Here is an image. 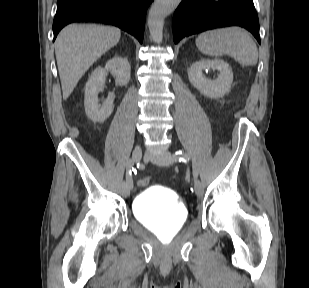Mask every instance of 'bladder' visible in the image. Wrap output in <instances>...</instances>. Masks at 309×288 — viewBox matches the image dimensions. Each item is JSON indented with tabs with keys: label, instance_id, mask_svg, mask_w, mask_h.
<instances>
[{
	"label": "bladder",
	"instance_id": "obj_1",
	"mask_svg": "<svg viewBox=\"0 0 309 288\" xmlns=\"http://www.w3.org/2000/svg\"><path fill=\"white\" fill-rule=\"evenodd\" d=\"M133 212L141 225L159 234L179 232L188 216L179 197L161 187L142 190L133 201Z\"/></svg>",
	"mask_w": 309,
	"mask_h": 288
}]
</instances>
